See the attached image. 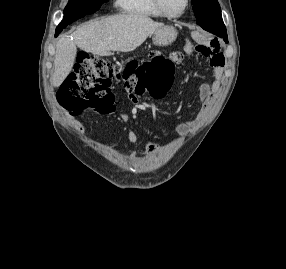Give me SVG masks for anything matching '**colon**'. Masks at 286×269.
I'll return each instance as SVG.
<instances>
[{
	"label": "colon",
	"instance_id": "colon-1",
	"mask_svg": "<svg viewBox=\"0 0 286 269\" xmlns=\"http://www.w3.org/2000/svg\"><path fill=\"white\" fill-rule=\"evenodd\" d=\"M208 43L198 44L197 51ZM162 54V49H151L148 61L137 63L129 61L121 71L116 64L106 58L91 56L80 52L76 59V68L64 83L58 95L59 104L71 114H76L86 107H94L100 113L113 111V95L110 85L112 80L124 83L131 92L148 93L152 97L164 94L173 83L174 58Z\"/></svg>",
	"mask_w": 286,
	"mask_h": 269
}]
</instances>
